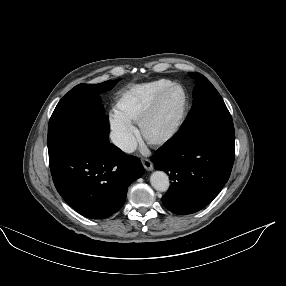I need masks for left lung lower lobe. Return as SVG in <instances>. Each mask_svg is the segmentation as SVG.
Instances as JSON below:
<instances>
[{
    "label": "left lung lower lobe",
    "instance_id": "left-lung-lower-lobe-1",
    "mask_svg": "<svg viewBox=\"0 0 286 286\" xmlns=\"http://www.w3.org/2000/svg\"><path fill=\"white\" fill-rule=\"evenodd\" d=\"M234 156V134L168 141L152 158L155 169L173 181L162 198L164 206L176 214H191L207 206L228 181Z\"/></svg>",
    "mask_w": 286,
    "mask_h": 286
}]
</instances>
